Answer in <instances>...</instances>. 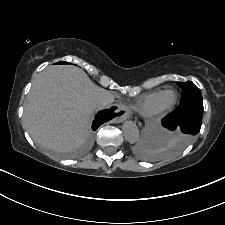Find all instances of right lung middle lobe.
Masks as SVG:
<instances>
[{
    "label": "right lung middle lobe",
    "mask_w": 225,
    "mask_h": 225,
    "mask_svg": "<svg viewBox=\"0 0 225 225\" xmlns=\"http://www.w3.org/2000/svg\"><path fill=\"white\" fill-rule=\"evenodd\" d=\"M58 64H67V62H58Z\"/></svg>",
    "instance_id": "1"
}]
</instances>
